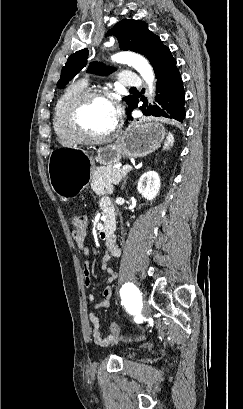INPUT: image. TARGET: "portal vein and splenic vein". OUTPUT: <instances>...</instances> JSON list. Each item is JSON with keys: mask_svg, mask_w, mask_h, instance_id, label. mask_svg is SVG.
<instances>
[{"mask_svg": "<svg viewBox=\"0 0 243 409\" xmlns=\"http://www.w3.org/2000/svg\"><path fill=\"white\" fill-rule=\"evenodd\" d=\"M130 169H132V166H131V165H125V166L122 167V170H123V171H125V170H130Z\"/></svg>", "mask_w": 243, "mask_h": 409, "instance_id": "18ae733b", "label": "portal vein and splenic vein"}]
</instances>
